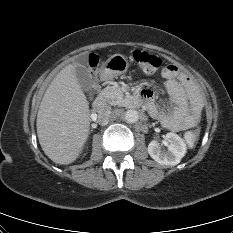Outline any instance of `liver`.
Listing matches in <instances>:
<instances>
[{
    "label": "liver",
    "instance_id": "obj_1",
    "mask_svg": "<svg viewBox=\"0 0 233 233\" xmlns=\"http://www.w3.org/2000/svg\"><path fill=\"white\" fill-rule=\"evenodd\" d=\"M77 64L65 66L48 86L37 114V135L44 153L55 163L74 162L89 135V103L77 77Z\"/></svg>",
    "mask_w": 233,
    "mask_h": 233
}]
</instances>
